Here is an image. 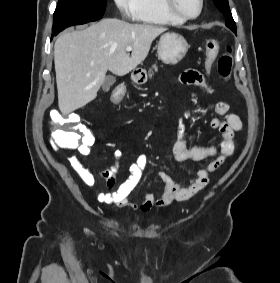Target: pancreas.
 <instances>
[{
    "label": "pancreas",
    "mask_w": 280,
    "mask_h": 283,
    "mask_svg": "<svg viewBox=\"0 0 280 283\" xmlns=\"http://www.w3.org/2000/svg\"><path fill=\"white\" fill-rule=\"evenodd\" d=\"M157 69H158L157 65L154 64V65L152 66V68H150V69L148 70V74H149V77H150V78H152V76L154 75L153 70L157 71Z\"/></svg>",
    "instance_id": "pancreas-1"
}]
</instances>
